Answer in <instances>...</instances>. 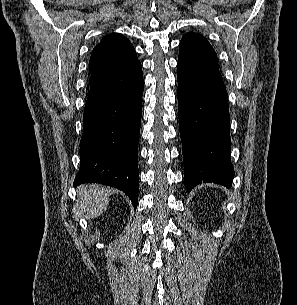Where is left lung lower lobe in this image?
<instances>
[{
	"label": "left lung lower lobe",
	"mask_w": 297,
	"mask_h": 305,
	"mask_svg": "<svg viewBox=\"0 0 297 305\" xmlns=\"http://www.w3.org/2000/svg\"><path fill=\"white\" fill-rule=\"evenodd\" d=\"M178 115L185 187L202 182L230 187V115L227 91L219 72H188L178 66Z\"/></svg>",
	"instance_id": "left-lung-lower-lobe-1"
}]
</instances>
